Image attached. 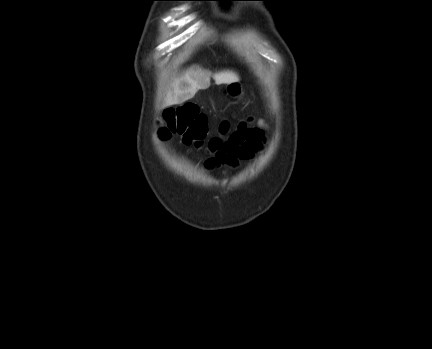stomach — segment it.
I'll list each match as a JSON object with an SVG mask.
<instances>
[{"mask_svg":"<svg viewBox=\"0 0 432 349\" xmlns=\"http://www.w3.org/2000/svg\"><path fill=\"white\" fill-rule=\"evenodd\" d=\"M226 90H227L228 95L236 98V97H239L240 94L242 93V86H241L239 81L232 82L230 84H227Z\"/></svg>","mask_w":432,"mask_h":349,"instance_id":"stomach-1","label":"stomach"}]
</instances>
